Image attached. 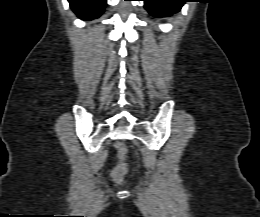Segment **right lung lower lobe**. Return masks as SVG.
I'll return each mask as SVG.
<instances>
[{
    "label": "right lung lower lobe",
    "mask_w": 260,
    "mask_h": 217,
    "mask_svg": "<svg viewBox=\"0 0 260 217\" xmlns=\"http://www.w3.org/2000/svg\"><path fill=\"white\" fill-rule=\"evenodd\" d=\"M70 7L82 20L98 18L103 12L106 0H68Z\"/></svg>",
    "instance_id": "1"
}]
</instances>
